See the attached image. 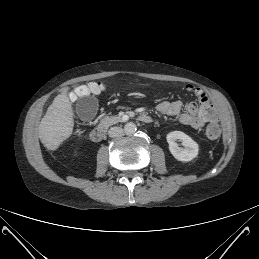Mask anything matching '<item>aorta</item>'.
I'll return each instance as SVG.
<instances>
[{"instance_id": "1", "label": "aorta", "mask_w": 259, "mask_h": 259, "mask_svg": "<svg viewBox=\"0 0 259 259\" xmlns=\"http://www.w3.org/2000/svg\"><path fill=\"white\" fill-rule=\"evenodd\" d=\"M137 130L136 125L133 122H128L124 126V132L126 135H133Z\"/></svg>"}]
</instances>
